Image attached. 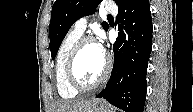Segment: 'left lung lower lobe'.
Returning a JSON list of instances; mask_svg holds the SVG:
<instances>
[{
  "label": "left lung lower lobe",
  "instance_id": "0a47b994",
  "mask_svg": "<svg viewBox=\"0 0 193 112\" xmlns=\"http://www.w3.org/2000/svg\"><path fill=\"white\" fill-rule=\"evenodd\" d=\"M119 37L113 45L111 77L96 97L126 112H143L146 73L152 50V20L148 0H129L119 9Z\"/></svg>",
  "mask_w": 193,
  "mask_h": 112
}]
</instances>
